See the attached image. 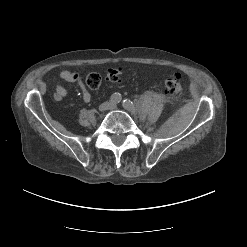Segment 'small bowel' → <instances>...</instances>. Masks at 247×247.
Here are the masks:
<instances>
[{
	"label": "small bowel",
	"instance_id": "c3829d8e",
	"mask_svg": "<svg viewBox=\"0 0 247 247\" xmlns=\"http://www.w3.org/2000/svg\"><path fill=\"white\" fill-rule=\"evenodd\" d=\"M114 70H116V74L113 77H108V79L112 82H119V78L123 74V69L115 68ZM58 78L61 81L77 83L82 88V99L85 102H89L91 100V94L84 88L82 79L78 73L63 70L59 73ZM66 94L67 89L61 83H57L54 99L56 101H61L66 96Z\"/></svg>",
	"mask_w": 247,
	"mask_h": 247
}]
</instances>
